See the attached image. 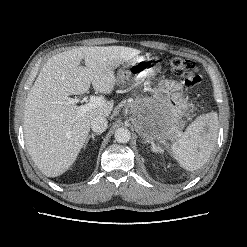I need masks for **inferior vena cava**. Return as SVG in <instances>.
I'll return each instance as SVG.
<instances>
[{
  "label": "inferior vena cava",
  "instance_id": "obj_1",
  "mask_svg": "<svg viewBox=\"0 0 247 247\" xmlns=\"http://www.w3.org/2000/svg\"><path fill=\"white\" fill-rule=\"evenodd\" d=\"M108 127V121L104 116H97L91 121V128L96 133L104 132Z\"/></svg>",
  "mask_w": 247,
  "mask_h": 247
}]
</instances>
